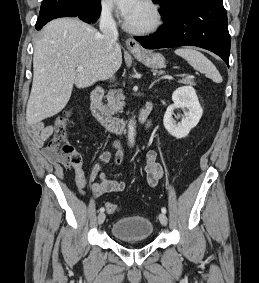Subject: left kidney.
Returning a JSON list of instances; mask_svg holds the SVG:
<instances>
[{
    "mask_svg": "<svg viewBox=\"0 0 259 283\" xmlns=\"http://www.w3.org/2000/svg\"><path fill=\"white\" fill-rule=\"evenodd\" d=\"M173 105L169 106L164 114V126L169 134L177 139L185 138L202 117L203 110L193 87L183 86L172 94ZM181 108L184 116L181 122L176 123L172 115L175 109Z\"/></svg>",
    "mask_w": 259,
    "mask_h": 283,
    "instance_id": "5707ae66",
    "label": "left kidney"
}]
</instances>
